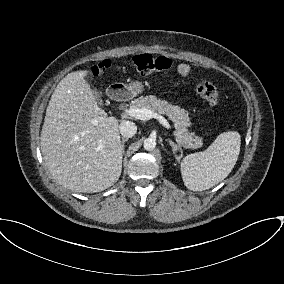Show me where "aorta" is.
<instances>
[{
	"label": "aorta",
	"instance_id": "aorta-1",
	"mask_svg": "<svg viewBox=\"0 0 284 284\" xmlns=\"http://www.w3.org/2000/svg\"><path fill=\"white\" fill-rule=\"evenodd\" d=\"M143 147L147 151H153L156 148V140L154 138H146Z\"/></svg>",
	"mask_w": 284,
	"mask_h": 284
}]
</instances>
